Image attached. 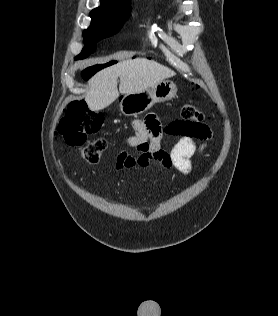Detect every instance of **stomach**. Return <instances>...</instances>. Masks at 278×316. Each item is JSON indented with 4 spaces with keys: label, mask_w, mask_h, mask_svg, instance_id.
<instances>
[{
    "label": "stomach",
    "mask_w": 278,
    "mask_h": 316,
    "mask_svg": "<svg viewBox=\"0 0 278 316\" xmlns=\"http://www.w3.org/2000/svg\"><path fill=\"white\" fill-rule=\"evenodd\" d=\"M177 87L172 81H160L140 93L126 94L120 101V111L127 116H136L149 110L155 103L175 97Z\"/></svg>",
    "instance_id": "0dacf381"
}]
</instances>
